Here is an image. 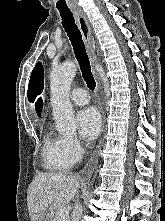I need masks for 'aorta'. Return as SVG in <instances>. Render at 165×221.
Returning a JSON list of instances; mask_svg holds the SVG:
<instances>
[{
	"mask_svg": "<svg viewBox=\"0 0 165 221\" xmlns=\"http://www.w3.org/2000/svg\"><path fill=\"white\" fill-rule=\"evenodd\" d=\"M76 71L77 67L73 62H65L50 74L53 119L58 131L65 135L76 133L74 111L69 100L71 83Z\"/></svg>",
	"mask_w": 165,
	"mask_h": 221,
	"instance_id": "aorta-1",
	"label": "aorta"
}]
</instances>
